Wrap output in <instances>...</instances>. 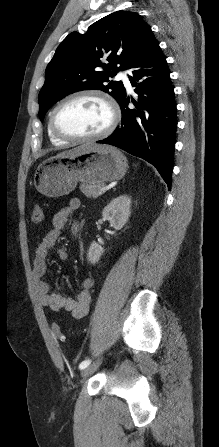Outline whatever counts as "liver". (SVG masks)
Listing matches in <instances>:
<instances>
[{"mask_svg": "<svg viewBox=\"0 0 219 447\" xmlns=\"http://www.w3.org/2000/svg\"><path fill=\"white\" fill-rule=\"evenodd\" d=\"M92 145H94V144L81 145L79 147H76V148H73V149H70L67 151H63L56 156H58V157L74 156V155H77V154L85 151L86 149L90 148Z\"/></svg>", "mask_w": 219, "mask_h": 447, "instance_id": "6515ba94", "label": "liver"}]
</instances>
